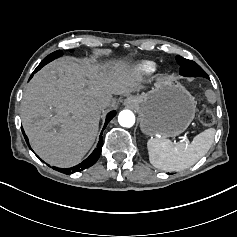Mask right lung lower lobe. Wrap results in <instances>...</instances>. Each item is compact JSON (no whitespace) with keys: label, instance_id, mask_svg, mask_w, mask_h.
<instances>
[{"label":"right lung lower lobe","instance_id":"obj_1","mask_svg":"<svg viewBox=\"0 0 237 237\" xmlns=\"http://www.w3.org/2000/svg\"><path fill=\"white\" fill-rule=\"evenodd\" d=\"M34 74V73H33ZM32 78V76L30 77V79ZM116 112L115 111H112L110 112L108 115H107V118H106V122H105V125L103 127V130L105 129V127L107 126L108 122L115 116ZM103 130L100 134V139H99V142H98V145H97V148H95V150L92 152V154L87 158L85 159L83 162H81L80 164L74 166V167H71V168H67V169H62V168H57V167H53L54 170H57L61 173H65V174H72V173H75V172H78V171H82L90 166H92L99 158L100 154H101V149H102V145H103V137H102V133H103ZM22 131H23V134H24V137H25V140L27 142V144L29 145V141H28V138L27 136L25 135L24 133V130L22 128ZM30 146V145H29ZM38 157V156H37Z\"/></svg>","mask_w":237,"mask_h":237}]
</instances>
